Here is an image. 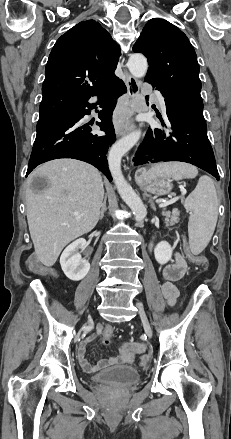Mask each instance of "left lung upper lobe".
I'll list each match as a JSON object with an SVG mask.
<instances>
[{
  "label": "left lung upper lobe",
  "mask_w": 231,
  "mask_h": 439,
  "mask_svg": "<svg viewBox=\"0 0 231 439\" xmlns=\"http://www.w3.org/2000/svg\"><path fill=\"white\" fill-rule=\"evenodd\" d=\"M133 51L147 57V81L159 87L166 97L204 119L199 65L195 50L183 32L166 20L151 19Z\"/></svg>",
  "instance_id": "1"
}]
</instances>
